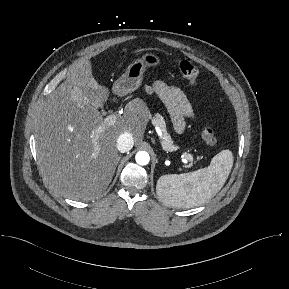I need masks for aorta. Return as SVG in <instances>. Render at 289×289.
Here are the masks:
<instances>
[{
	"instance_id": "obj_1",
	"label": "aorta",
	"mask_w": 289,
	"mask_h": 289,
	"mask_svg": "<svg viewBox=\"0 0 289 289\" xmlns=\"http://www.w3.org/2000/svg\"><path fill=\"white\" fill-rule=\"evenodd\" d=\"M135 160L139 165H147L150 160V156L146 151H139L136 156Z\"/></svg>"
}]
</instances>
